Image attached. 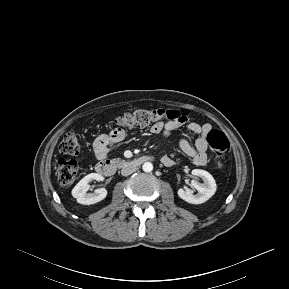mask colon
<instances>
[{
	"mask_svg": "<svg viewBox=\"0 0 289 289\" xmlns=\"http://www.w3.org/2000/svg\"><path fill=\"white\" fill-rule=\"evenodd\" d=\"M182 117L181 113L173 109H139L118 116L113 124L115 128L129 129L146 127L157 122H173ZM114 128V129H115ZM208 144L216 157L218 165L222 163V156L228 152L230 143L227 136L219 130H211L207 136ZM59 151L65 155H76L79 143L75 134H67L59 145ZM79 163L76 160H60L56 167L58 182L63 187H69L77 178Z\"/></svg>",
	"mask_w": 289,
	"mask_h": 289,
	"instance_id": "5ec220e1",
	"label": "colon"
}]
</instances>
